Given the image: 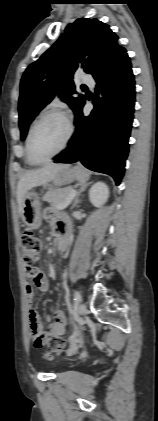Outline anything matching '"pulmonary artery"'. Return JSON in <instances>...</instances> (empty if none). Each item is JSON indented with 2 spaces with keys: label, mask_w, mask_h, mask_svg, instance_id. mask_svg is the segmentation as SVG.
Segmentation results:
<instances>
[{
  "label": "pulmonary artery",
  "mask_w": 158,
  "mask_h": 421,
  "mask_svg": "<svg viewBox=\"0 0 158 421\" xmlns=\"http://www.w3.org/2000/svg\"><path fill=\"white\" fill-rule=\"evenodd\" d=\"M82 82L84 83V84H86V85H88V86H94V84H95V81H94V79L92 78V77H90V76H85L83 79H82Z\"/></svg>",
  "instance_id": "e3ab8cb5"
}]
</instances>
